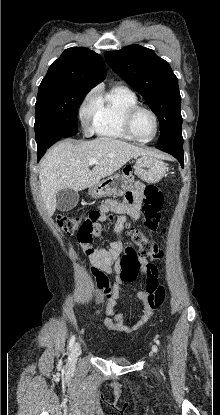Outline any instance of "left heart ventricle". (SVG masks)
Segmentation results:
<instances>
[{"label":"left heart ventricle","instance_id":"b2bd125f","mask_svg":"<svg viewBox=\"0 0 220 415\" xmlns=\"http://www.w3.org/2000/svg\"><path fill=\"white\" fill-rule=\"evenodd\" d=\"M132 128L139 139H149L155 132L154 119L148 112L138 111L133 118Z\"/></svg>","mask_w":220,"mask_h":415}]
</instances>
